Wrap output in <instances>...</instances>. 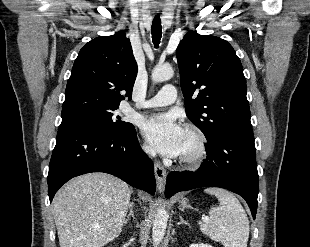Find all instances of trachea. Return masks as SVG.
Returning <instances> with one entry per match:
<instances>
[{"label":"trachea","instance_id":"3493384b","mask_svg":"<svg viewBox=\"0 0 310 247\" xmlns=\"http://www.w3.org/2000/svg\"><path fill=\"white\" fill-rule=\"evenodd\" d=\"M151 34H152V40L155 45V47H158L161 36H162V25H161V19L159 15H156L153 19L152 26H151Z\"/></svg>","mask_w":310,"mask_h":247}]
</instances>
